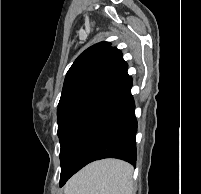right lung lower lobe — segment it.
I'll use <instances>...</instances> for the list:
<instances>
[{
	"instance_id": "right-lung-lower-lobe-1",
	"label": "right lung lower lobe",
	"mask_w": 201,
	"mask_h": 194,
	"mask_svg": "<svg viewBox=\"0 0 201 194\" xmlns=\"http://www.w3.org/2000/svg\"><path fill=\"white\" fill-rule=\"evenodd\" d=\"M131 88L128 76L75 115L60 142V186L94 160L118 158L135 165L137 121Z\"/></svg>"
}]
</instances>
